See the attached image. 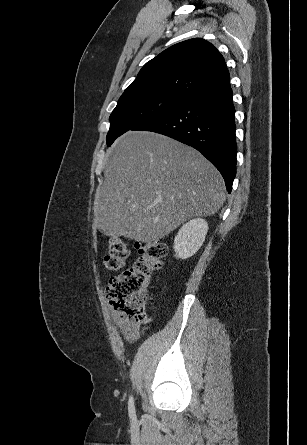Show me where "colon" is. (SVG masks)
I'll return each mask as SVG.
<instances>
[{"label":"colon","mask_w":307,"mask_h":445,"mask_svg":"<svg viewBox=\"0 0 307 445\" xmlns=\"http://www.w3.org/2000/svg\"><path fill=\"white\" fill-rule=\"evenodd\" d=\"M137 249L138 258L133 266L111 277L106 287V297L112 308L133 324L143 323L146 319L148 287L154 274L162 268L167 253V247L161 241L141 243ZM128 255V244L113 237L109 241V251L103 257V265L108 271L120 270Z\"/></svg>","instance_id":"5ec220e1"}]
</instances>
